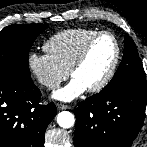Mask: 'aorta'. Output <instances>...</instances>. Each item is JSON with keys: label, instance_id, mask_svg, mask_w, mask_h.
<instances>
[{"label": "aorta", "instance_id": "1", "mask_svg": "<svg viewBox=\"0 0 147 147\" xmlns=\"http://www.w3.org/2000/svg\"><path fill=\"white\" fill-rule=\"evenodd\" d=\"M74 122V115L69 111H62L57 115V123L62 128H71Z\"/></svg>", "mask_w": 147, "mask_h": 147}]
</instances>
